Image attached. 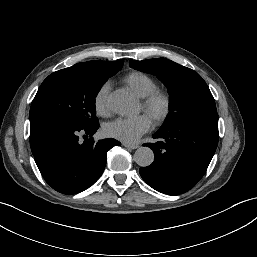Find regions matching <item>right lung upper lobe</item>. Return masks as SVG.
<instances>
[{"label":"right lung upper lobe","instance_id":"obj_1","mask_svg":"<svg viewBox=\"0 0 257 257\" xmlns=\"http://www.w3.org/2000/svg\"><path fill=\"white\" fill-rule=\"evenodd\" d=\"M86 67L94 69L100 73L118 72L122 66L123 61H88L80 63Z\"/></svg>","mask_w":257,"mask_h":257}]
</instances>
